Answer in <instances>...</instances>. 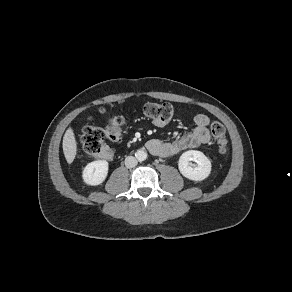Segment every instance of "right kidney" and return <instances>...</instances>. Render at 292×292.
I'll return each instance as SVG.
<instances>
[{
	"label": "right kidney",
	"instance_id": "obj_1",
	"mask_svg": "<svg viewBox=\"0 0 292 292\" xmlns=\"http://www.w3.org/2000/svg\"><path fill=\"white\" fill-rule=\"evenodd\" d=\"M109 165L106 160H97L88 163L82 172L83 181L91 186L104 182L108 174Z\"/></svg>",
	"mask_w": 292,
	"mask_h": 292
}]
</instances>
